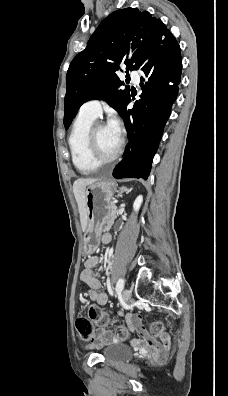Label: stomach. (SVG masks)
Instances as JSON below:
<instances>
[{
    "instance_id": "stomach-1",
    "label": "stomach",
    "mask_w": 228,
    "mask_h": 396,
    "mask_svg": "<svg viewBox=\"0 0 228 396\" xmlns=\"http://www.w3.org/2000/svg\"><path fill=\"white\" fill-rule=\"evenodd\" d=\"M114 191V183L107 180L91 183L85 190L87 228L83 236L84 255L93 254L99 245L103 227L113 215L110 209Z\"/></svg>"
}]
</instances>
